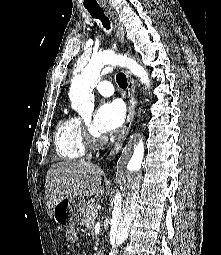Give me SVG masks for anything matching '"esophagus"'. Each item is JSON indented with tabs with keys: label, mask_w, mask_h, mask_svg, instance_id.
Here are the masks:
<instances>
[{
	"label": "esophagus",
	"mask_w": 221,
	"mask_h": 255,
	"mask_svg": "<svg viewBox=\"0 0 221 255\" xmlns=\"http://www.w3.org/2000/svg\"><path fill=\"white\" fill-rule=\"evenodd\" d=\"M108 15H109L110 19L112 20V23L114 25L119 42H120L121 46H123L125 43L123 27H122L120 21L118 20V18L116 17V15L114 14V12L111 11L110 9L108 10ZM126 76H127V80H128V91H129V95L131 96L129 110H128V115L125 120V123L122 126V128L117 136L113 150L109 155V161H111L115 158V156L117 155V153L119 152V150L121 149V147L125 141V138H126L128 132H129V129L131 127V123H132L133 116L135 113V107L137 104L136 97H135L134 79L132 78V76L128 70H126Z\"/></svg>",
	"instance_id": "1"
}]
</instances>
